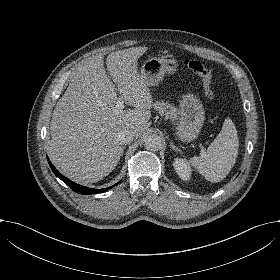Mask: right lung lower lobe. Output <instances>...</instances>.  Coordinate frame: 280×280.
<instances>
[{
  "label": "right lung lower lobe",
  "mask_w": 280,
  "mask_h": 280,
  "mask_svg": "<svg viewBox=\"0 0 280 280\" xmlns=\"http://www.w3.org/2000/svg\"><path fill=\"white\" fill-rule=\"evenodd\" d=\"M48 160V163L52 169V171L54 172V174L60 178L63 182H65L73 191H75L76 193H79V194H96V193H101V192H104V191H107L108 189L116 186L117 184L111 186V187H108V188H104V189H92V188H87V187H84V186H81L79 184H76L74 182H72L71 180H69L68 178L64 177L62 174H60L58 172V170L52 165V163L50 162V160L47 158Z\"/></svg>",
  "instance_id": "right-lung-lower-lobe-1"
}]
</instances>
